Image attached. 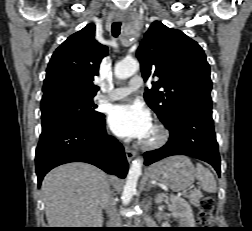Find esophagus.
<instances>
[{
    "instance_id": "1",
    "label": "esophagus",
    "mask_w": 252,
    "mask_h": 231,
    "mask_svg": "<svg viewBox=\"0 0 252 231\" xmlns=\"http://www.w3.org/2000/svg\"><path fill=\"white\" fill-rule=\"evenodd\" d=\"M123 18V14L122 13H117L115 15V20L116 21H120ZM125 154L127 157L128 161H131L135 156H136V151L129 149L128 147H125Z\"/></svg>"
}]
</instances>
